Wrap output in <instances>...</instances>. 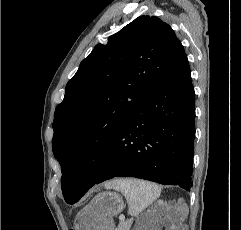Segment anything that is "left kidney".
I'll return each instance as SVG.
<instances>
[{
  "instance_id": "5707ae66",
  "label": "left kidney",
  "mask_w": 241,
  "mask_h": 230,
  "mask_svg": "<svg viewBox=\"0 0 241 230\" xmlns=\"http://www.w3.org/2000/svg\"><path fill=\"white\" fill-rule=\"evenodd\" d=\"M136 230H154V226L150 224H144L139 226Z\"/></svg>"
}]
</instances>
